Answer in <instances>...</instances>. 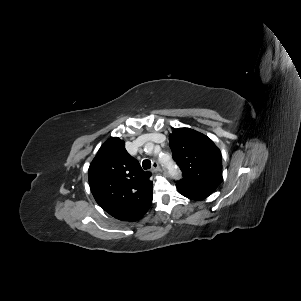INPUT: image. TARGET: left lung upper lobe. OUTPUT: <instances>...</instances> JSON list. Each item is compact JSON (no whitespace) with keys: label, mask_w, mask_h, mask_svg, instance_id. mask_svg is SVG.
<instances>
[{"label":"left lung upper lobe","mask_w":301,"mask_h":301,"mask_svg":"<svg viewBox=\"0 0 301 301\" xmlns=\"http://www.w3.org/2000/svg\"><path fill=\"white\" fill-rule=\"evenodd\" d=\"M173 159L182 170L178 189L211 194L221 180L222 158L218 147L204 134L178 128L169 135Z\"/></svg>","instance_id":"left-lung-upper-lobe-1"}]
</instances>
